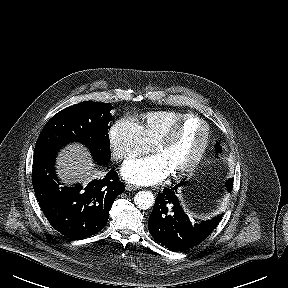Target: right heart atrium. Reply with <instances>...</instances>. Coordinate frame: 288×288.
I'll return each mask as SVG.
<instances>
[{"label": "right heart atrium", "mask_w": 288, "mask_h": 288, "mask_svg": "<svg viewBox=\"0 0 288 288\" xmlns=\"http://www.w3.org/2000/svg\"><path fill=\"white\" fill-rule=\"evenodd\" d=\"M111 153L116 161L128 160L147 152L150 147L140 127L132 119H120L109 130Z\"/></svg>", "instance_id": "right-heart-atrium-1"}]
</instances>
